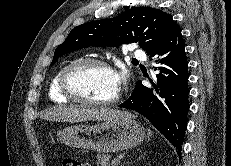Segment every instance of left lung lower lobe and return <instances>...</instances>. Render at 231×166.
<instances>
[{"label": "left lung lower lobe", "mask_w": 231, "mask_h": 166, "mask_svg": "<svg viewBox=\"0 0 231 166\" xmlns=\"http://www.w3.org/2000/svg\"><path fill=\"white\" fill-rule=\"evenodd\" d=\"M158 66L151 87L138 81L133 93L119 107L134 110L146 117L175 147L178 155L184 140L189 109L188 60L179 26L152 51Z\"/></svg>", "instance_id": "obj_1"}]
</instances>
